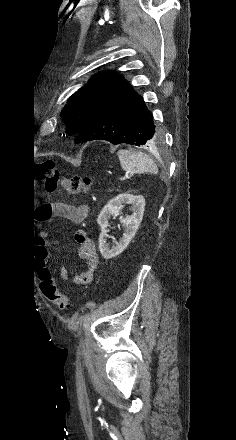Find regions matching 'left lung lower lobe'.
I'll list each match as a JSON object with an SVG mask.
<instances>
[{
  "label": "left lung lower lobe",
  "mask_w": 236,
  "mask_h": 440,
  "mask_svg": "<svg viewBox=\"0 0 236 440\" xmlns=\"http://www.w3.org/2000/svg\"><path fill=\"white\" fill-rule=\"evenodd\" d=\"M161 137L144 100L128 87L93 117L79 132L75 143L106 140L114 145L154 146Z\"/></svg>",
  "instance_id": "0a47b994"
}]
</instances>
